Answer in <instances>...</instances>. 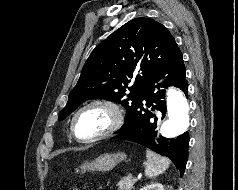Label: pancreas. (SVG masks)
<instances>
[{"label":"pancreas","mask_w":238,"mask_h":190,"mask_svg":"<svg viewBox=\"0 0 238 190\" xmlns=\"http://www.w3.org/2000/svg\"><path fill=\"white\" fill-rule=\"evenodd\" d=\"M136 183V179L132 177H123L118 183L117 190H131L133 185Z\"/></svg>","instance_id":"1"}]
</instances>
